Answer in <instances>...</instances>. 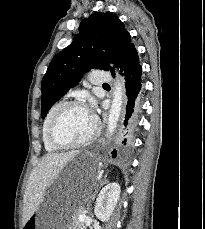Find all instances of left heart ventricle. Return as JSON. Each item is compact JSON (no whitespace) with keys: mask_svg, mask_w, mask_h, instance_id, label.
<instances>
[{"mask_svg":"<svg viewBox=\"0 0 205 229\" xmlns=\"http://www.w3.org/2000/svg\"><path fill=\"white\" fill-rule=\"evenodd\" d=\"M94 126V117L87 108L71 107L62 115L56 127L55 136L60 142H78L87 138Z\"/></svg>","mask_w":205,"mask_h":229,"instance_id":"left-heart-ventricle-1","label":"left heart ventricle"}]
</instances>
